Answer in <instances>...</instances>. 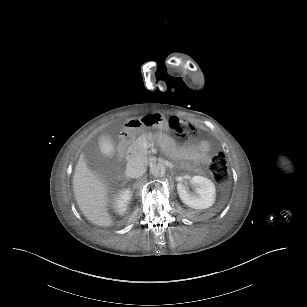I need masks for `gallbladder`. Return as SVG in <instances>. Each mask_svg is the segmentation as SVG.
I'll return each instance as SVG.
<instances>
[{
    "mask_svg": "<svg viewBox=\"0 0 307 307\" xmlns=\"http://www.w3.org/2000/svg\"><path fill=\"white\" fill-rule=\"evenodd\" d=\"M98 147L105 156H112L116 152V147L108 136H102L99 138Z\"/></svg>",
    "mask_w": 307,
    "mask_h": 307,
    "instance_id": "bac80fb5",
    "label": "gallbladder"
}]
</instances>
